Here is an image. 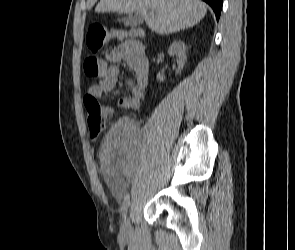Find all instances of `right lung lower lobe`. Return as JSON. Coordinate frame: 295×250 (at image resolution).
<instances>
[{
    "mask_svg": "<svg viewBox=\"0 0 295 250\" xmlns=\"http://www.w3.org/2000/svg\"><path fill=\"white\" fill-rule=\"evenodd\" d=\"M208 3L215 12L217 20L220 17L223 0H203Z\"/></svg>",
    "mask_w": 295,
    "mask_h": 250,
    "instance_id": "1",
    "label": "right lung lower lobe"
}]
</instances>
